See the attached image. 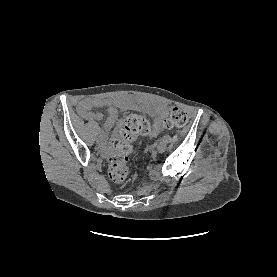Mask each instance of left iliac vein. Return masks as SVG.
Here are the masks:
<instances>
[{
	"mask_svg": "<svg viewBox=\"0 0 277 277\" xmlns=\"http://www.w3.org/2000/svg\"><path fill=\"white\" fill-rule=\"evenodd\" d=\"M165 150H166V144H164V143L158 144V146H157V151H158L159 153H163Z\"/></svg>",
	"mask_w": 277,
	"mask_h": 277,
	"instance_id": "1",
	"label": "left iliac vein"
}]
</instances>
